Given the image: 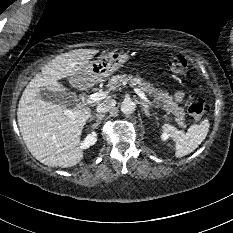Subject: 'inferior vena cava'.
Returning <instances> with one entry per match:
<instances>
[{"instance_id": "1", "label": "inferior vena cava", "mask_w": 233, "mask_h": 233, "mask_svg": "<svg viewBox=\"0 0 233 233\" xmlns=\"http://www.w3.org/2000/svg\"><path fill=\"white\" fill-rule=\"evenodd\" d=\"M115 106V101L112 99H106L98 104L96 110L99 113H106Z\"/></svg>"}]
</instances>
